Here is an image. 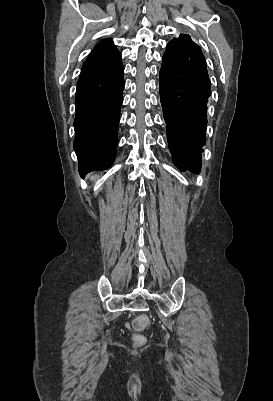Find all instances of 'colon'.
<instances>
[{
	"mask_svg": "<svg viewBox=\"0 0 273 401\" xmlns=\"http://www.w3.org/2000/svg\"><path fill=\"white\" fill-rule=\"evenodd\" d=\"M146 315L141 314L140 318L134 324L133 330L135 333L134 341L131 342L130 350L132 353H141L143 348L148 345V338L143 333L146 330V326H148V320L145 319Z\"/></svg>",
	"mask_w": 273,
	"mask_h": 401,
	"instance_id": "obj_1",
	"label": "colon"
}]
</instances>
